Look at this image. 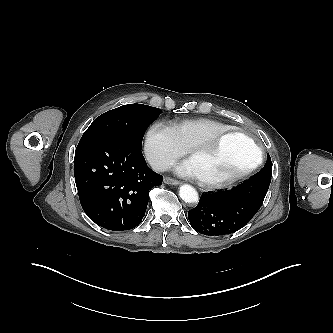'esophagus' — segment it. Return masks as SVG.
<instances>
[{
    "instance_id": "1",
    "label": "esophagus",
    "mask_w": 333,
    "mask_h": 333,
    "mask_svg": "<svg viewBox=\"0 0 333 333\" xmlns=\"http://www.w3.org/2000/svg\"><path fill=\"white\" fill-rule=\"evenodd\" d=\"M164 183L168 184V185H179V184H181L180 181H178L176 179H173V178H170V177H165L164 178Z\"/></svg>"
}]
</instances>
